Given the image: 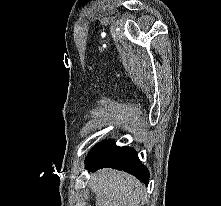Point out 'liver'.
<instances>
[{"label":"liver","instance_id":"1","mask_svg":"<svg viewBox=\"0 0 221 206\" xmlns=\"http://www.w3.org/2000/svg\"><path fill=\"white\" fill-rule=\"evenodd\" d=\"M89 186L96 197V206H140L144 192L130 174L102 169L91 176Z\"/></svg>","mask_w":221,"mask_h":206}]
</instances>
